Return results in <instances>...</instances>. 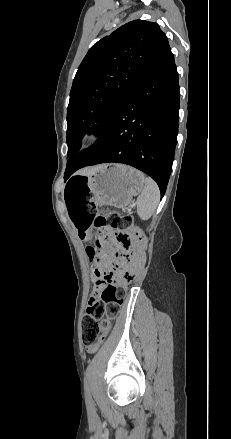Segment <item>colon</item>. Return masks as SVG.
Masks as SVG:
<instances>
[{
    "label": "colon",
    "mask_w": 231,
    "mask_h": 439,
    "mask_svg": "<svg viewBox=\"0 0 231 439\" xmlns=\"http://www.w3.org/2000/svg\"><path fill=\"white\" fill-rule=\"evenodd\" d=\"M91 195L87 181L75 179L65 188V198L70 207V216L80 234L94 228L111 226L116 230L115 241L123 250L117 259L106 260L107 271L102 274L108 287L103 289L99 299L93 301L82 320V341L92 348L103 340L109 332L112 321L118 315L124 300L126 287L134 280L143 263V250L146 240L143 234L133 226L129 215L116 211L97 214L96 208L88 198ZM97 240H107L106 234H98ZM93 256V251L91 252ZM125 264L120 274L116 271Z\"/></svg>",
    "instance_id": "obj_1"
}]
</instances>
